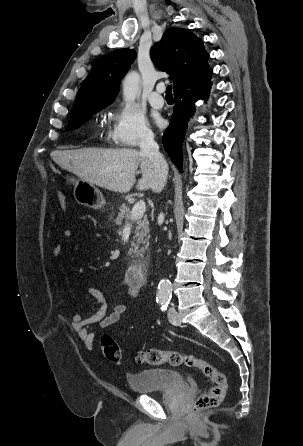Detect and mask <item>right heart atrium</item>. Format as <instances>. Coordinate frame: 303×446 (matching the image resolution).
I'll return each mask as SVG.
<instances>
[{
  "label": "right heart atrium",
  "instance_id": "obj_1",
  "mask_svg": "<svg viewBox=\"0 0 303 446\" xmlns=\"http://www.w3.org/2000/svg\"><path fill=\"white\" fill-rule=\"evenodd\" d=\"M154 135L144 114L129 104L120 105L112 117L110 140L118 146L136 147L152 141Z\"/></svg>",
  "mask_w": 303,
  "mask_h": 446
}]
</instances>
